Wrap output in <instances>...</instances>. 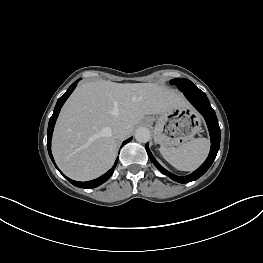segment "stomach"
Returning <instances> with one entry per match:
<instances>
[{
	"instance_id": "obj_1",
	"label": "stomach",
	"mask_w": 263,
	"mask_h": 263,
	"mask_svg": "<svg viewBox=\"0 0 263 263\" xmlns=\"http://www.w3.org/2000/svg\"><path fill=\"white\" fill-rule=\"evenodd\" d=\"M145 122L154 125V140L165 147L179 146L201 131L200 116L187 104L171 109L159 117H147Z\"/></svg>"
}]
</instances>
